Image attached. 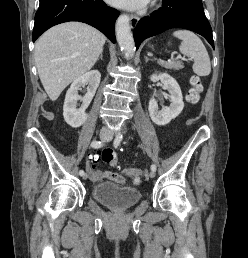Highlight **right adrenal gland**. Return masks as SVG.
I'll use <instances>...</instances> for the list:
<instances>
[{"instance_id": "2a0ac1e0", "label": "right adrenal gland", "mask_w": 248, "mask_h": 258, "mask_svg": "<svg viewBox=\"0 0 248 258\" xmlns=\"http://www.w3.org/2000/svg\"><path fill=\"white\" fill-rule=\"evenodd\" d=\"M99 59H101V60L103 59V53L102 52L100 53Z\"/></svg>"}]
</instances>
